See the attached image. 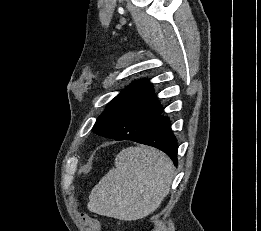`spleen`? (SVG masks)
<instances>
[{
  "mask_svg": "<svg viewBox=\"0 0 261 231\" xmlns=\"http://www.w3.org/2000/svg\"><path fill=\"white\" fill-rule=\"evenodd\" d=\"M115 167L92 189L88 209L124 221L154 212L170 191L174 176L171 160L146 146L123 149Z\"/></svg>",
  "mask_w": 261,
  "mask_h": 231,
  "instance_id": "spleen-1",
  "label": "spleen"
}]
</instances>
